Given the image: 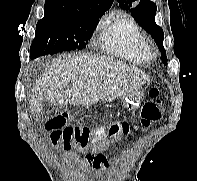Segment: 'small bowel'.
I'll list each match as a JSON object with an SVG mask.
<instances>
[{"mask_svg":"<svg viewBox=\"0 0 197 181\" xmlns=\"http://www.w3.org/2000/svg\"><path fill=\"white\" fill-rule=\"evenodd\" d=\"M85 158H79L75 154H71V159L75 160L82 167H92L98 170L97 177L103 173L104 157L95 151H84Z\"/></svg>","mask_w":197,"mask_h":181,"instance_id":"small-bowel-1","label":"small bowel"}]
</instances>
